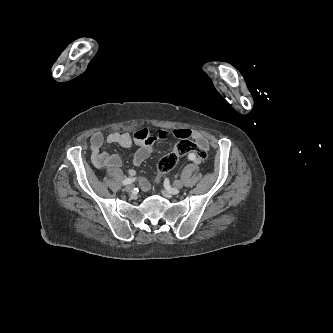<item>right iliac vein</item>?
I'll return each instance as SVG.
<instances>
[{
    "instance_id": "obj_1",
    "label": "right iliac vein",
    "mask_w": 333,
    "mask_h": 333,
    "mask_svg": "<svg viewBox=\"0 0 333 333\" xmlns=\"http://www.w3.org/2000/svg\"><path fill=\"white\" fill-rule=\"evenodd\" d=\"M133 188H134L133 185L130 184V185L126 186L125 189H126L127 192H132V191H133Z\"/></svg>"
}]
</instances>
